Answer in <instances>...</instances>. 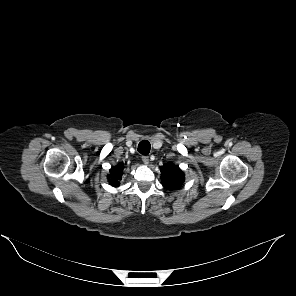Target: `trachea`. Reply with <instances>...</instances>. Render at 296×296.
Returning a JSON list of instances; mask_svg holds the SVG:
<instances>
[{"instance_id":"1","label":"trachea","mask_w":296,"mask_h":296,"mask_svg":"<svg viewBox=\"0 0 296 296\" xmlns=\"http://www.w3.org/2000/svg\"><path fill=\"white\" fill-rule=\"evenodd\" d=\"M150 143L147 140H142L139 145H138V151L142 154V155H147L150 152Z\"/></svg>"}]
</instances>
